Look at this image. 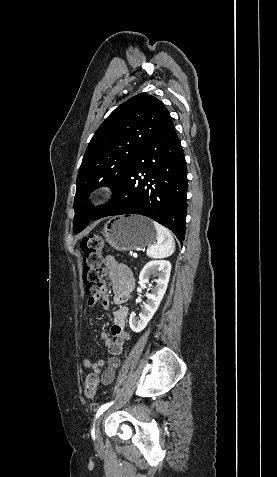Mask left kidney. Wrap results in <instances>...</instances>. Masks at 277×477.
<instances>
[{
    "label": "left kidney",
    "instance_id": "5707ae66",
    "mask_svg": "<svg viewBox=\"0 0 277 477\" xmlns=\"http://www.w3.org/2000/svg\"><path fill=\"white\" fill-rule=\"evenodd\" d=\"M171 263L167 260H154L148 262L140 272L139 280L142 283L148 282L152 274L158 276L155 280L156 285L152 289L151 294H147V303L144 304L140 319L134 318L135 314L132 313L129 318V325L132 331L141 332L152 319L153 315L157 311L161 300L166 292L167 285L170 278ZM141 288H137V292H140Z\"/></svg>",
    "mask_w": 277,
    "mask_h": 477
}]
</instances>
